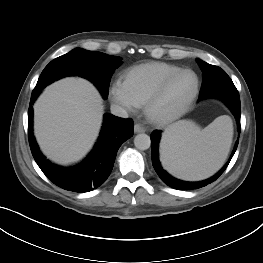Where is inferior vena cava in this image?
Masks as SVG:
<instances>
[{
    "mask_svg": "<svg viewBox=\"0 0 263 263\" xmlns=\"http://www.w3.org/2000/svg\"><path fill=\"white\" fill-rule=\"evenodd\" d=\"M110 110H111V113L115 116H118L121 118H128L127 111L119 105H115V104L111 105Z\"/></svg>",
    "mask_w": 263,
    "mask_h": 263,
    "instance_id": "602c4592",
    "label": "inferior vena cava"
}]
</instances>
